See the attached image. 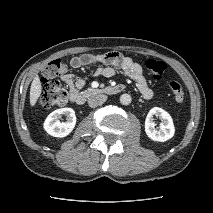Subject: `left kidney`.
Returning a JSON list of instances; mask_svg holds the SVG:
<instances>
[{
	"mask_svg": "<svg viewBox=\"0 0 213 213\" xmlns=\"http://www.w3.org/2000/svg\"><path fill=\"white\" fill-rule=\"evenodd\" d=\"M159 116L161 119V124L159 129H155V123L153 121V116ZM145 132L147 136L157 142H165L171 139L175 133V127L173 120L168 112L159 107L152 108L147 114L145 120Z\"/></svg>",
	"mask_w": 213,
	"mask_h": 213,
	"instance_id": "1",
	"label": "left kidney"
}]
</instances>
